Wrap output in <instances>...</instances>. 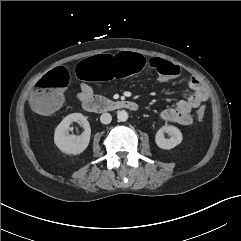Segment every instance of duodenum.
<instances>
[{"label":"duodenum","mask_w":241,"mask_h":241,"mask_svg":"<svg viewBox=\"0 0 241 241\" xmlns=\"http://www.w3.org/2000/svg\"><path fill=\"white\" fill-rule=\"evenodd\" d=\"M82 107L90 113H104L117 110H132L138 109L135 102L127 100H107L100 97H91L83 101Z\"/></svg>","instance_id":"duodenum-1"}]
</instances>
